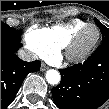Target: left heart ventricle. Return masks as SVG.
I'll return each mask as SVG.
<instances>
[{
    "mask_svg": "<svg viewBox=\"0 0 109 109\" xmlns=\"http://www.w3.org/2000/svg\"><path fill=\"white\" fill-rule=\"evenodd\" d=\"M96 30L94 28H88L81 37L77 50H83L88 47L96 38Z\"/></svg>",
    "mask_w": 109,
    "mask_h": 109,
    "instance_id": "left-heart-ventricle-1",
    "label": "left heart ventricle"
}]
</instances>
